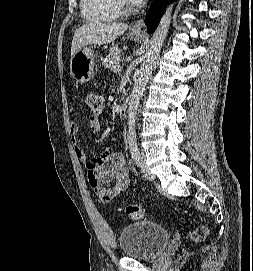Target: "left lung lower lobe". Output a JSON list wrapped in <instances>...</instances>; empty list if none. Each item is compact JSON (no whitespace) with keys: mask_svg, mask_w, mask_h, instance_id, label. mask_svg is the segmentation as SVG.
I'll return each mask as SVG.
<instances>
[{"mask_svg":"<svg viewBox=\"0 0 253 271\" xmlns=\"http://www.w3.org/2000/svg\"><path fill=\"white\" fill-rule=\"evenodd\" d=\"M172 0H153L150 10L146 16V25L149 33H153L158 26L165 8Z\"/></svg>","mask_w":253,"mask_h":271,"instance_id":"1","label":"left lung lower lobe"}]
</instances>
